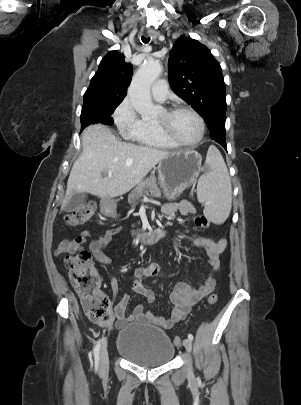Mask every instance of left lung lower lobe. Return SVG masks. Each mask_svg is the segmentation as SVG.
<instances>
[{
    "label": "left lung lower lobe",
    "mask_w": 301,
    "mask_h": 405,
    "mask_svg": "<svg viewBox=\"0 0 301 405\" xmlns=\"http://www.w3.org/2000/svg\"><path fill=\"white\" fill-rule=\"evenodd\" d=\"M213 140L221 144L226 149V141L225 138L215 137Z\"/></svg>",
    "instance_id": "1"
}]
</instances>
